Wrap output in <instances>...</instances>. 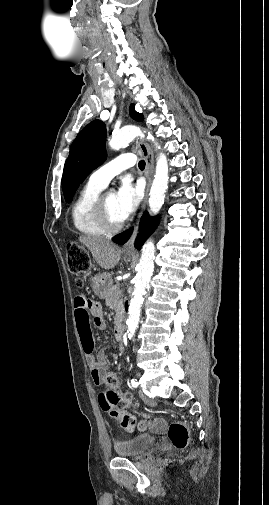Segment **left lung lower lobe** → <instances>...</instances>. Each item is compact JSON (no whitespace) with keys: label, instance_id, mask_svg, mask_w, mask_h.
Segmentation results:
<instances>
[{"label":"left lung lower lobe","instance_id":"0a47b994","mask_svg":"<svg viewBox=\"0 0 269 505\" xmlns=\"http://www.w3.org/2000/svg\"><path fill=\"white\" fill-rule=\"evenodd\" d=\"M158 224L157 217H150L147 212H145L141 218L139 225V234L135 242V247L137 249L141 248V245L145 242L148 236L153 232ZM133 229H129L124 233L117 236L113 241L117 244H124L132 234Z\"/></svg>","mask_w":269,"mask_h":505}]
</instances>
